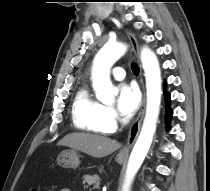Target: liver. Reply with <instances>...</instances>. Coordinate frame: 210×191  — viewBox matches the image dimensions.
Here are the masks:
<instances>
[{
  "instance_id": "liver-1",
  "label": "liver",
  "mask_w": 210,
  "mask_h": 191,
  "mask_svg": "<svg viewBox=\"0 0 210 191\" xmlns=\"http://www.w3.org/2000/svg\"><path fill=\"white\" fill-rule=\"evenodd\" d=\"M59 146H67L79 150L92 157L102 158L121 147L116 140L89 133H71L58 142Z\"/></svg>"
}]
</instances>
